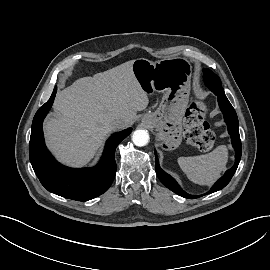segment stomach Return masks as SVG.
I'll return each instance as SVG.
<instances>
[{"label": "stomach", "mask_w": 270, "mask_h": 270, "mask_svg": "<svg viewBox=\"0 0 270 270\" xmlns=\"http://www.w3.org/2000/svg\"><path fill=\"white\" fill-rule=\"evenodd\" d=\"M133 74L146 93H162L159 107L146 113L142 122L157 131L161 147L176 149L182 141L183 117L188 107L192 66L181 57L157 62L145 58L134 60Z\"/></svg>", "instance_id": "obj_1"}]
</instances>
